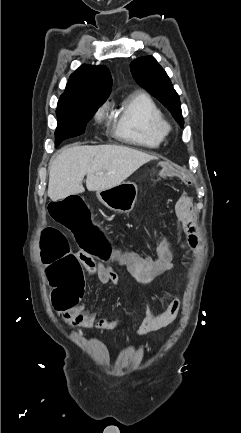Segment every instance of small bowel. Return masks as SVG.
Wrapping results in <instances>:
<instances>
[{"mask_svg": "<svg viewBox=\"0 0 241 433\" xmlns=\"http://www.w3.org/2000/svg\"><path fill=\"white\" fill-rule=\"evenodd\" d=\"M176 215L179 218L183 232L187 237V243L196 255L199 249V238L197 234L196 215L193 209L192 200L187 195H182L176 202ZM166 244V243H165ZM79 265L82 264L91 274L95 275L104 285L116 286L118 274L108 264L95 263L88 254L81 251L78 254ZM143 265L154 275H159L171 268L170 251H160L148 256L143 260ZM81 267V266H80ZM180 308V301L174 299L167 308L160 314H155L147 308L136 333L140 336L147 335L171 324L177 317ZM61 318L71 327L83 330L93 328L104 331L131 326L134 321L126 319L99 318L95 312L88 311L84 306H75L73 312H59Z\"/></svg>", "mask_w": 241, "mask_h": 433, "instance_id": "small-bowel-1", "label": "small bowel"}]
</instances>
